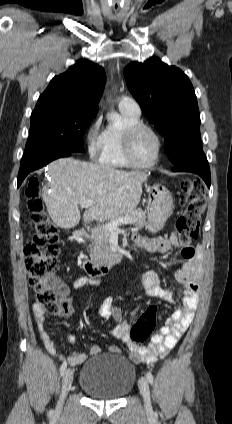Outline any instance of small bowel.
<instances>
[{
  "instance_id": "obj_1",
  "label": "small bowel",
  "mask_w": 232,
  "mask_h": 424,
  "mask_svg": "<svg viewBox=\"0 0 232 424\" xmlns=\"http://www.w3.org/2000/svg\"><path fill=\"white\" fill-rule=\"evenodd\" d=\"M133 241L140 248L158 253H166L172 247L178 245V239L175 235H172L170 238H148L135 234ZM201 275L202 254L198 252L195 257L187 259L183 266L175 273L176 280L185 286L181 301L178 300L173 291L162 285V277L158 272L146 271L141 275L134 289H141L150 296L165 299L173 304H180V307L167 319L166 325L162 327L160 332L152 336L147 346H139L131 341L129 323L124 320L122 311L113 305L112 298L108 297L102 302L99 308V315L104 319L115 321L116 324L111 333L114 338L126 343L129 350V358L132 362L153 365L158 359L165 357L176 346L194 318L198 306ZM98 284L99 281L97 279L79 275L72 281L71 287L77 289ZM69 292L70 287L60 282V295L66 310L63 316L67 318L73 315V307L67 300ZM33 313L41 339L48 351L55 353V342L46 330L45 308L36 303L33 305ZM66 339L71 342L74 340V336L67 334ZM100 351L101 348L98 345H92L89 354L75 352L69 357V361L73 365H78L83 363L88 355H98ZM109 351L112 354H118L120 349L116 345H111Z\"/></svg>"
}]
</instances>
